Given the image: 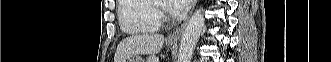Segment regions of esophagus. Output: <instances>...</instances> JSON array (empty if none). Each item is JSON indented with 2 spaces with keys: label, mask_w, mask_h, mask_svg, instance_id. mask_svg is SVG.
I'll use <instances>...</instances> for the list:
<instances>
[{
  "label": "esophagus",
  "mask_w": 331,
  "mask_h": 62,
  "mask_svg": "<svg viewBox=\"0 0 331 62\" xmlns=\"http://www.w3.org/2000/svg\"><path fill=\"white\" fill-rule=\"evenodd\" d=\"M196 4H197V0H193L192 1V9H191V12L190 13H192V11L195 8ZM187 21H188V17L185 19V21L183 22V24H181V26H179L173 33H171L168 36L167 40L169 42H177L179 40V38H180V36H181V34H182V32H183L186 24H187Z\"/></svg>",
  "instance_id": "esophagus-1"
}]
</instances>
